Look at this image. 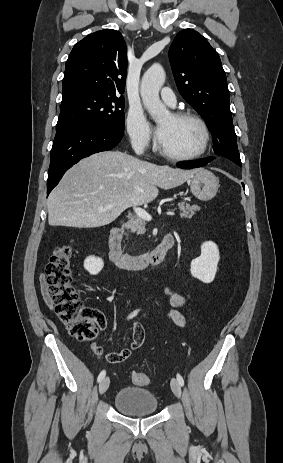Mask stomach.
Here are the masks:
<instances>
[{
	"label": "stomach",
	"instance_id": "1",
	"mask_svg": "<svg viewBox=\"0 0 283 463\" xmlns=\"http://www.w3.org/2000/svg\"><path fill=\"white\" fill-rule=\"evenodd\" d=\"M192 194L201 201L215 197L219 188L218 178L209 170L198 169L189 180Z\"/></svg>",
	"mask_w": 283,
	"mask_h": 463
}]
</instances>
